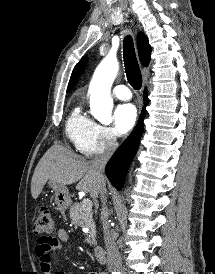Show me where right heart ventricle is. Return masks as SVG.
I'll return each mask as SVG.
<instances>
[{
	"label": "right heart ventricle",
	"instance_id": "obj_1",
	"mask_svg": "<svg viewBox=\"0 0 215 274\" xmlns=\"http://www.w3.org/2000/svg\"><path fill=\"white\" fill-rule=\"evenodd\" d=\"M94 124L95 122L83 112L81 105L73 107L66 121L65 132L78 150L83 146Z\"/></svg>",
	"mask_w": 215,
	"mask_h": 274
}]
</instances>
